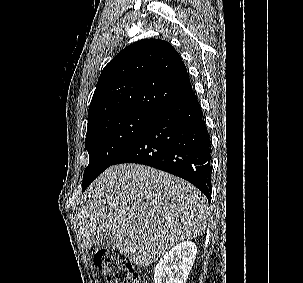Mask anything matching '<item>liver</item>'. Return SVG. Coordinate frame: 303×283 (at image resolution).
Returning <instances> with one entry per match:
<instances>
[{
    "label": "liver",
    "mask_w": 303,
    "mask_h": 283,
    "mask_svg": "<svg viewBox=\"0 0 303 283\" xmlns=\"http://www.w3.org/2000/svg\"><path fill=\"white\" fill-rule=\"evenodd\" d=\"M208 205L192 184L139 164L109 167L85 191L78 211L80 237L92 249L112 236L115 248L138 266L201 236Z\"/></svg>",
    "instance_id": "1"
}]
</instances>
